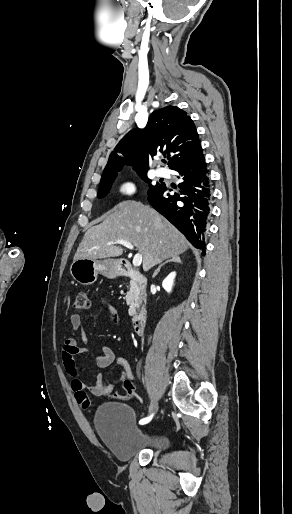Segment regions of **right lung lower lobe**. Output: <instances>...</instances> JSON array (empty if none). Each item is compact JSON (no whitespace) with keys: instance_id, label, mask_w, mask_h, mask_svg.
Masks as SVG:
<instances>
[{"instance_id":"98d812e1","label":"right lung lower lobe","mask_w":292,"mask_h":514,"mask_svg":"<svg viewBox=\"0 0 292 514\" xmlns=\"http://www.w3.org/2000/svg\"><path fill=\"white\" fill-rule=\"evenodd\" d=\"M183 180L172 189L162 183L148 191L149 203L198 249L205 248V231L211 207V187L203 154L173 169ZM205 255V251L202 252Z\"/></svg>"}]
</instances>
